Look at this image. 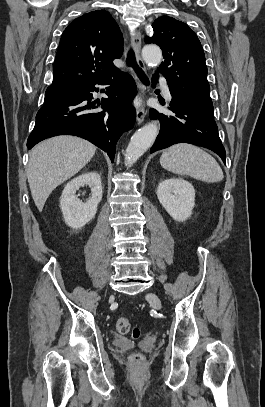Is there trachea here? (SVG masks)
Segmentation results:
<instances>
[{
  "label": "trachea",
  "mask_w": 265,
  "mask_h": 407,
  "mask_svg": "<svg viewBox=\"0 0 265 407\" xmlns=\"http://www.w3.org/2000/svg\"><path fill=\"white\" fill-rule=\"evenodd\" d=\"M127 64L129 66H132L135 70L136 73L138 75V77L140 78V80L145 83L148 84L149 80L147 78V76L144 74V72L138 67L137 63H136V59H135V54L134 51L132 49H130L128 51V55H127V60H126Z\"/></svg>",
  "instance_id": "3493384b"
}]
</instances>
